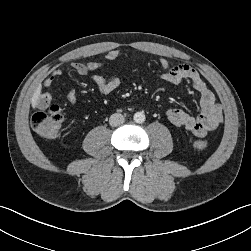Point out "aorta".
I'll return each instance as SVG.
<instances>
[{"label": "aorta", "mask_w": 251, "mask_h": 251, "mask_svg": "<svg viewBox=\"0 0 251 251\" xmlns=\"http://www.w3.org/2000/svg\"><path fill=\"white\" fill-rule=\"evenodd\" d=\"M133 120L136 123H143L145 121V115L143 112H136L133 116Z\"/></svg>", "instance_id": "1"}]
</instances>
